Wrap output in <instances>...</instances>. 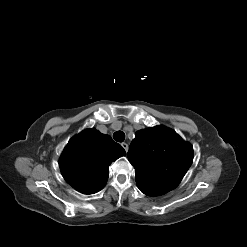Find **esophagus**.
Masks as SVG:
<instances>
[{
	"mask_svg": "<svg viewBox=\"0 0 247 247\" xmlns=\"http://www.w3.org/2000/svg\"><path fill=\"white\" fill-rule=\"evenodd\" d=\"M121 146L124 148V150L127 152L128 151V144L123 142Z\"/></svg>",
	"mask_w": 247,
	"mask_h": 247,
	"instance_id": "esophagus-1",
	"label": "esophagus"
}]
</instances>
